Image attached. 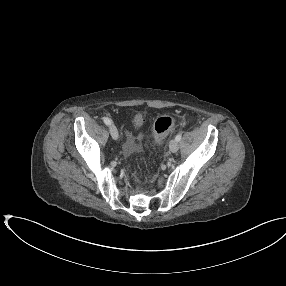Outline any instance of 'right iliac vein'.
Returning a JSON list of instances; mask_svg holds the SVG:
<instances>
[{"label": "right iliac vein", "instance_id": "63e3f726", "mask_svg": "<svg viewBox=\"0 0 286 286\" xmlns=\"http://www.w3.org/2000/svg\"><path fill=\"white\" fill-rule=\"evenodd\" d=\"M109 131H110V134L112 136V138L114 140H117L118 139V131H117V128L114 126V125H110L109 126Z\"/></svg>", "mask_w": 286, "mask_h": 286}]
</instances>
